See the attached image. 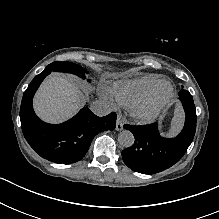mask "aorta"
<instances>
[{"instance_id":"aorta-1","label":"aorta","mask_w":219,"mask_h":219,"mask_svg":"<svg viewBox=\"0 0 219 219\" xmlns=\"http://www.w3.org/2000/svg\"><path fill=\"white\" fill-rule=\"evenodd\" d=\"M135 138L129 130H123L118 134V142L121 146L129 148L134 144Z\"/></svg>"}]
</instances>
